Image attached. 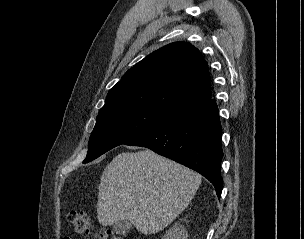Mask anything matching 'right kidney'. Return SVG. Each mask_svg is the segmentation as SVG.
I'll return each mask as SVG.
<instances>
[{"instance_id":"ca27d5eb","label":"right kidney","mask_w":304,"mask_h":239,"mask_svg":"<svg viewBox=\"0 0 304 239\" xmlns=\"http://www.w3.org/2000/svg\"><path fill=\"white\" fill-rule=\"evenodd\" d=\"M188 233L184 227L175 224L171 229H169L162 239H187Z\"/></svg>"}]
</instances>
